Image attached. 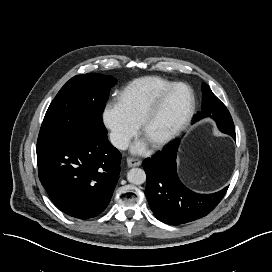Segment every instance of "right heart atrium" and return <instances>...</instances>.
Returning <instances> with one entry per match:
<instances>
[{
	"label": "right heart atrium",
	"mask_w": 272,
	"mask_h": 272,
	"mask_svg": "<svg viewBox=\"0 0 272 272\" xmlns=\"http://www.w3.org/2000/svg\"><path fill=\"white\" fill-rule=\"evenodd\" d=\"M101 119L109 132L111 143L117 148H124L137 132V125L127 117L118 102L106 104Z\"/></svg>",
	"instance_id": "obj_1"
}]
</instances>
